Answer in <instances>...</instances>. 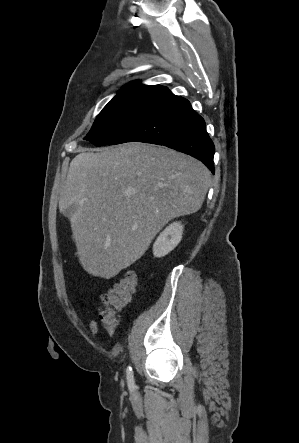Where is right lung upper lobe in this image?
Wrapping results in <instances>:
<instances>
[{
	"instance_id": "obj_1",
	"label": "right lung upper lobe",
	"mask_w": 299,
	"mask_h": 443,
	"mask_svg": "<svg viewBox=\"0 0 299 443\" xmlns=\"http://www.w3.org/2000/svg\"><path fill=\"white\" fill-rule=\"evenodd\" d=\"M145 87H161V88H166L164 86H147V85L140 84L138 81H133V82H130L127 85H125L124 89H128V88H145Z\"/></svg>"
}]
</instances>
